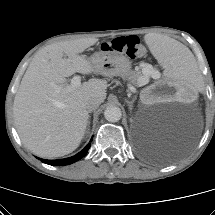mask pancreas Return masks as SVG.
Segmentation results:
<instances>
[{
    "label": "pancreas",
    "mask_w": 215,
    "mask_h": 215,
    "mask_svg": "<svg viewBox=\"0 0 215 215\" xmlns=\"http://www.w3.org/2000/svg\"><path fill=\"white\" fill-rule=\"evenodd\" d=\"M141 76H142L141 73L133 74L132 79H131V82H132L133 84H140V83L138 82V80H139V78H140Z\"/></svg>",
    "instance_id": "1"
}]
</instances>
